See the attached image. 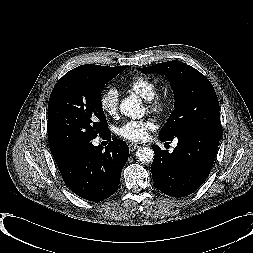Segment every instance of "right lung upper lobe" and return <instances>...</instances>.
<instances>
[{
    "mask_svg": "<svg viewBox=\"0 0 253 253\" xmlns=\"http://www.w3.org/2000/svg\"><path fill=\"white\" fill-rule=\"evenodd\" d=\"M86 66H97V67H101V68L107 67V66H100V65H93V64L81 65L79 67H86ZM52 154H53V157H54L57 164L59 162H61L64 159V157L66 156V154H56V153H52Z\"/></svg>",
    "mask_w": 253,
    "mask_h": 253,
    "instance_id": "obj_1",
    "label": "right lung upper lobe"
}]
</instances>
